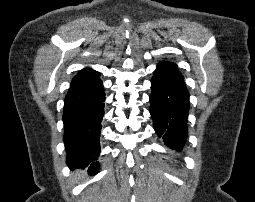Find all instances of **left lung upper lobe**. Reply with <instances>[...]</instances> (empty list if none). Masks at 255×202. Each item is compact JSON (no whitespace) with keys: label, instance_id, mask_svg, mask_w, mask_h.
<instances>
[{"label":"left lung upper lobe","instance_id":"5c2ea615","mask_svg":"<svg viewBox=\"0 0 255 202\" xmlns=\"http://www.w3.org/2000/svg\"><path fill=\"white\" fill-rule=\"evenodd\" d=\"M155 72L165 73L176 81L183 82V75L179 73L178 67L174 63L162 62L159 63Z\"/></svg>","mask_w":255,"mask_h":202}]
</instances>
